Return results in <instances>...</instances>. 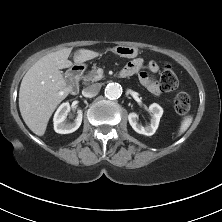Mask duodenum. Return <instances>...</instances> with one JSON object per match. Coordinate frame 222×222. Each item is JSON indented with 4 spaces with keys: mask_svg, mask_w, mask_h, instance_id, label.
Wrapping results in <instances>:
<instances>
[{
    "mask_svg": "<svg viewBox=\"0 0 222 222\" xmlns=\"http://www.w3.org/2000/svg\"><path fill=\"white\" fill-rule=\"evenodd\" d=\"M83 71L84 68L79 65L73 66L72 69L70 70V79H71L70 91L73 95L78 94L80 90L79 81L83 74ZM120 76L125 77L126 74L121 71Z\"/></svg>",
    "mask_w": 222,
    "mask_h": 222,
    "instance_id": "duodenum-1",
    "label": "duodenum"
}]
</instances>
